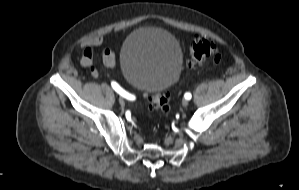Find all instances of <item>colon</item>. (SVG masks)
Masks as SVG:
<instances>
[{"label": "colon", "mask_w": 299, "mask_h": 190, "mask_svg": "<svg viewBox=\"0 0 299 190\" xmlns=\"http://www.w3.org/2000/svg\"><path fill=\"white\" fill-rule=\"evenodd\" d=\"M222 50L213 42L196 38L193 40L190 48V57L187 67L192 70L207 62L218 63L222 60ZM82 64L90 70H93V59L90 56L82 58ZM150 107L157 112H168L169 96L167 93H157L147 95Z\"/></svg>", "instance_id": "colon-1"}]
</instances>
